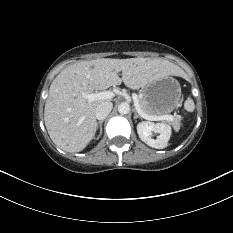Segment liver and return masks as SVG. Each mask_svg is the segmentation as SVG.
Segmentation results:
<instances>
[{"label": "liver", "instance_id": "liver-1", "mask_svg": "<svg viewBox=\"0 0 233 233\" xmlns=\"http://www.w3.org/2000/svg\"><path fill=\"white\" fill-rule=\"evenodd\" d=\"M122 72V78L118 73ZM177 65L162 58H99L63 69L53 80L45 103L44 121L51 140L67 152H80L97 130L95 110L101 102L82 95L122 82L130 89L144 88L167 76H181Z\"/></svg>", "mask_w": 233, "mask_h": 233}]
</instances>
